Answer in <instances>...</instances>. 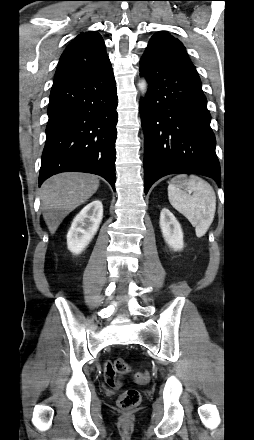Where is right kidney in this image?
Here are the masks:
<instances>
[{
	"instance_id": "right-kidney-1",
	"label": "right kidney",
	"mask_w": 254,
	"mask_h": 440,
	"mask_svg": "<svg viewBox=\"0 0 254 440\" xmlns=\"http://www.w3.org/2000/svg\"><path fill=\"white\" fill-rule=\"evenodd\" d=\"M103 218V205L99 200L86 205L74 218L67 234L68 249L81 253L96 234Z\"/></svg>"
}]
</instances>
